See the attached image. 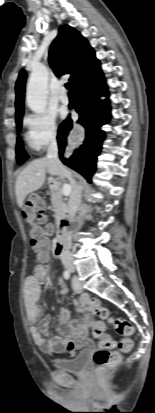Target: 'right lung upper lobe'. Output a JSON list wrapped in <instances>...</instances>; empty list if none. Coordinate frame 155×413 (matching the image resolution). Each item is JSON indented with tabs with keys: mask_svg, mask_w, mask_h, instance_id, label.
Segmentation results:
<instances>
[{
	"mask_svg": "<svg viewBox=\"0 0 155 413\" xmlns=\"http://www.w3.org/2000/svg\"><path fill=\"white\" fill-rule=\"evenodd\" d=\"M49 61L57 76L71 74L70 82L74 89L86 79L101 72L100 62L87 40L74 28L62 25L53 41ZM26 73L22 70L16 82V121L22 119L24 112V92Z\"/></svg>",
	"mask_w": 155,
	"mask_h": 413,
	"instance_id": "obj_1",
	"label": "right lung upper lobe"
}]
</instances>
